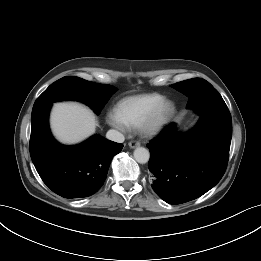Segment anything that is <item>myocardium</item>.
Segmentation results:
<instances>
[{
	"instance_id": "myocardium-1",
	"label": "myocardium",
	"mask_w": 261,
	"mask_h": 261,
	"mask_svg": "<svg viewBox=\"0 0 261 261\" xmlns=\"http://www.w3.org/2000/svg\"><path fill=\"white\" fill-rule=\"evenodd\" d=\"M176 112V106L170 99L163 98L140 122L138 128L145 136H153L161 132Z\"/></svg>"
}]
</instances>
